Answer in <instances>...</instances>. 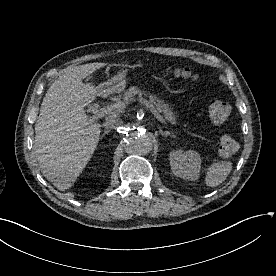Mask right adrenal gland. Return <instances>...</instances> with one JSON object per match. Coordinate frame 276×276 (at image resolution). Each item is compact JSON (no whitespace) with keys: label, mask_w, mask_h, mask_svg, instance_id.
<instances>
[{"label":"right adrenal gland","mask_w":276,"mask_h":276,"mask_svg":"<svg viewBox=\"0 0 276 276\" xmlns=\"http://www.w3.org/2000/svg\"><path fill=\"white\" fill-rule=\"evenodd\" d=\"M108 133H109V131H105V132L102 134V137H103L104 135L108 134Z\"/></svg>","instance_id":"obj_1"}]
</instances>
